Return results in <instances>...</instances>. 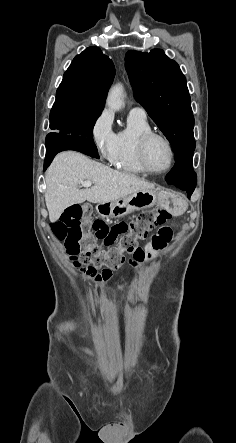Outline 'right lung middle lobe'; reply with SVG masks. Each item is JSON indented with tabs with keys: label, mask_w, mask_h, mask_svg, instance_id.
Segmentation results:
<instances>
[{
	"label": "right lung middle lobe",
	"mask_w": 236,
	"mask_h": 443,
	"mask_svg": "<svg viewBox=\"0 0 236 443\" xmlns=\"http://www.w3.org/2000/svg\"><path fill=\"white\" fill-rule=\"evenodd\" d=\"M101 110H86L67 105L53 106L50 112V128L46 140L60 136L65 140L73 139L94 144L93 127Z\"/></svg>",
	"instance_id": "right-lung-middle-lobe-1"
}]
</instances>
